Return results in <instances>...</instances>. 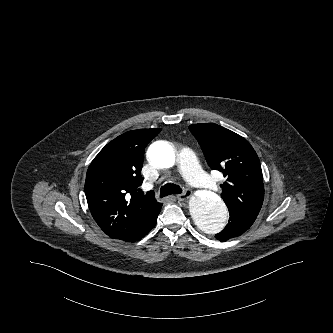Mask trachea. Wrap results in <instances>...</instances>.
<instances>
[{"instance_id":"1","label":"trachea","mask_w":333,"mask_h":333,"mask_svg":"<svg viewBox=\"0 0 333 333\" xmlns=\"http://www.w3.org/2000/svg\"><path fill=\"white\" fill-rule=\"evenodd\" d=\"M178 193H182L181 187L172 183H167L160 189V197H165L171 194Z\"/></svg>"}]
</instances>
